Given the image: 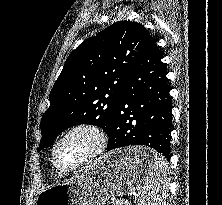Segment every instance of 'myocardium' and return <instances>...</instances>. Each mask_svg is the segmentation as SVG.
Listing matches in <instances>:
<instances>
[{"mask_svg": "<svg viewBox=\"0 0 222 205\" xmlns=\"http://www.w3.org/2000/svg\"><path fill=\"white\" fill-rule=\"evenodd\" d=\"M77 132H87V133L91 134L95 139L94 147L77 164H75L71 167H68V168L62 167L59 165V163L57 161V157H56L57 149L66 138H68L69 136H71L72 134L77 133ZM106 144H107V136L101 127H99L96 124L88 123V122L78 123V124H75V125L71 126L70 128H68L58 138V140L55 142V144L52 148L51 159H52V162H53L55 168L58 171H60L61 173H70V172L79 170V169L87 166L88 164L93 162L95 159H97L104 151Z\"/></svg>", "mask_w": 222, "mask_h": 205, "instance_id": "f54148a6", "label": "myocardium"}]
</instances>
